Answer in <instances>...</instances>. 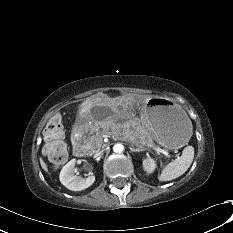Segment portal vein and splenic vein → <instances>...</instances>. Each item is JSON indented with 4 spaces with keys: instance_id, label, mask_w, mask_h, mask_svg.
Listing matches in <instances>:
<instances>
[{
    "instance_id": "portal-vein-and-splenic-vein-1",
    "label": "portal vein and splenic vein",
    "mask_w": 233,
    "mask_h": 233,
    "mask_svg": "<svg viewBox=\"0 0 233 233\" xmlns=\"http://www.w3.org/2000/svg\"><path fill=\"white\" fill-rule=\"evenodd\" d=\"M157 153H162L163 155H165L166 157H170L168 151L164 150V149H161V148H158V147H155L153 146L152 147ZM179 158V157H177Z\"/></svg>"
}]
</instances>
